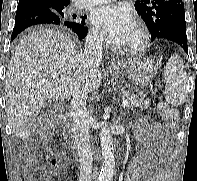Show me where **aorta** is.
Returning a JSON list of instances; mask_svg holds the SVG:
<instances>
[{"instance_id":"obj_1","label":"aorta","mask_w":197,"mask_h":181,"mask_svg":"<svg viewBox=\"0 0 197 181\" xmlns=\"http://www.w3.org/2000/svg\"><path fill=\"white\" fill-rule=\"evenodd\" d=\"M100 142L103 163L97 181H111L114 173L115 160L112 136L106 122L102 123V128L100 132Z\"/></svg>"}]
</instances>
